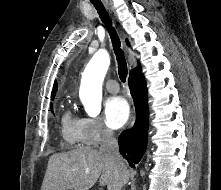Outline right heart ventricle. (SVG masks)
<instances>
[{
    "label": "right heart ventricle",
    "instance_id": "obj_1",
    "mask_svg": "<svg viewBox=\"0 0 221 190\" xmlns=\"http://www.w3.org/2000/svg\"><path fill=\"white\" fill-rule=\"evenodd\" d=\"M81 118L73 115L71 111H66L62 117V136L72 147H79L82 143Z\"/></svg>",
    "mask_w": 221,
    "mask_h": 190
}]
</instances>
